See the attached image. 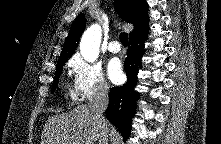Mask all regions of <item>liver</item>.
I'll return each instance as SVG.
<instances>
[{"instance_id":"6515ba94","label":"liver","mask_w":221,"mask_h":144,"mask_svg":"<svg viewBox=\"0 0 221 144\" xmlns=\"http://www.w3.org/2000/svg\"><path fill=\"white\" fill-rule=\"evenodd\" d=\"M99 135L100 127L88 105H78L68 113L48 118L41 144H96Z\"/></svg>"}]
</instances>
